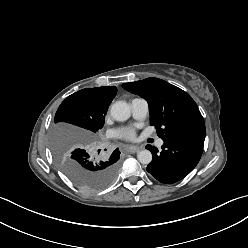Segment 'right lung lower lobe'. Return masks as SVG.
Returning <instances> with one entry per match:
<instances>
[{
  "label": "right lung lower lobe",
  "mask_w": 248,
  "mask_h": 248,
  "mask_svg": "<svg viewBox=\"0 0 248 248\" xmlns=\"http://www.w3.org/2000/svg\"><path fill=\"white\" fill-rule=\"evenodd\" d=\"M115 155L119 156L120 157V151L119 149L117 148L114 152H113Z\"/></svg>",
  "instance_id": "98d812e1"
}]
</instances>
